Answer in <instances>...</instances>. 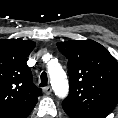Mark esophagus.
<instances>
[{
  "mask_svg": "<svg viewBox=\"0 0 118 118\" xmlns=\"http://www.w3.org/2000/svg\"><path fill=\"white\" fill-rule=\"evenodd\" d=\"M43 92H44L46 95H49V94H51V92H52V88H51L50 86L44 87V88H43Z\"/></svg>",
  "mask_w": 118,
  "mask_h": 118,
  "instance_id": "obj_1",
  "label": "esophagus"
}]
</instances>
